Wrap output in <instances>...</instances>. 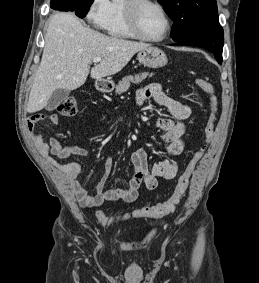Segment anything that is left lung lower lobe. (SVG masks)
<instances>
[{
  "instance_id": "1",
  "label": "left lung lower lobe",
  "mask_w": 259,
  "mask_h": 283,
  "mask_svg": "<svg viewBox=\"0 0 259 283\" xmlns=\"http://www.w3.org/2000/svg\"><path fill=\"white\" fill-rule=\"evenodd\" d=\"M223 40H224V33L222 27L220 26L216 30L208 32L206 34L179 41L176 45H189V46L202 47L214 53V56L217 59L218 63L221 64Z\"/></svg>"
}]
</instances>
